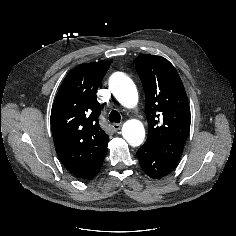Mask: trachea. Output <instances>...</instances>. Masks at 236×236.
I'll use <instances>...</instances> for the list:
<instances>
[{
	"label": "trachea",
	"mask_w": 236,
	"mask_h": 236,
	"mask_svg": "<svg viewBox=\"0 0 236 236\" xmlns=\"http://www.w3.org/2000/svg\"><path fill=\"white\" fill-rule=\"evenodd\" d=\"M109 121L114 123H120L121 116L118 111L112 110L109 114Z\"/></svg>",
	"instance_id": "1"
}]
</instances>
